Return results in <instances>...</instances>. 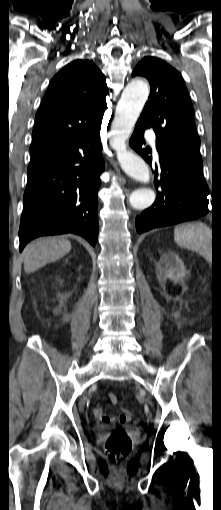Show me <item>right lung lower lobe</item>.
<instances>
[{
  "instance_id": "obj_1",
  "label": "right lung lower lobe",
  "mask_w": 221,
  "mask_h": 510,
  "mask_svg": "<svg viewBox=\"0 0 221 510\" xmlns=\"http://www.w3.org/2000/svg\"><path fill=\"white\" fill-rule=\"evenodd\" d=\"M100 129L101 123L67 143L31 156L19 229L20 251L34 238L64 233L81 235L95 246L97 192L105 167Z\"/></svg>"
}]
</instances>
